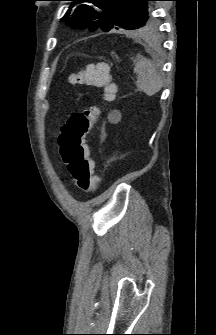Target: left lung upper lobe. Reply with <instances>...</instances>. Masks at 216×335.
<instances>
[{
  "label": "left lung upper lobe",
  "mask_w": 216,
  "mask_h": 335,
  "mask_svg": "<svg viewBox=\"0 0 216 335\" xmlns=\"http://www.w3.org/2000/svg\"><path fill=\"white\" fill-rule=\"evenodd\" d=\"M69 9L62 22H67L75 29L94 31L98 28L105 32L111 29H126L153 32L156 20L148 2L153 0H69Z\"/></svg>",
  "instance_id": "5c2ea615"
}]
</instances>
